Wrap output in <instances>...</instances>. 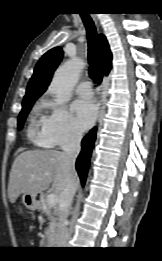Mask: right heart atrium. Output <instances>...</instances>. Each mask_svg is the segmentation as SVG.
<instances>
[{
  "label": "right heart atrium",
  "mask_w": 162,
  "mask_h": 261,
  "mask_svg": "<svg viewBox=\"0 0 162 261\" xmlns=\"http://www.w3.org/2000/svg\"><path fill=\"white\" fill-rule=\"evenodd\" d=\"M49 113L40 120L41 130L37 141L46 146L74 145L81 139V131L76 127L72 114L65 106L45 101Z\"/></svg>",
  "instance_id": "right-heart-atrium-1"
}]
</instances>
